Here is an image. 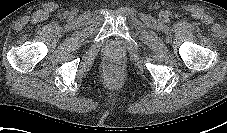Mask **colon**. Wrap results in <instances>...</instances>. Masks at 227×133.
I'll return each instance as SVG.
<instances>
[{
  "mask_svg": "<svg viewBox=\"0 0 227 133\" xmlns=\"http://www.w3.org/2000/svg\"><path fill=\"white\" fill-rule=\"evenodd\" d=\"M106 69L109 73L117 75L121 72V66L118 63H109L106 66Z\"/></svg>",
  "mask_w": 227,
  "mask_h": 133,
  "instance_id": "1",
  "label": "colon"
}]
</instances>
